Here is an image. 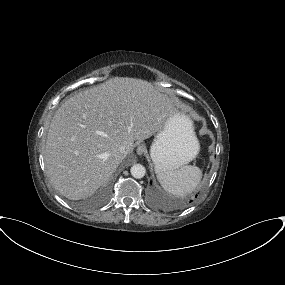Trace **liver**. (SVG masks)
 I'll return each mask as SVG.
<instances>
[{"instance_id": "liver-1", "label": "liver", "mask_w": 285, "mask_h": 285, "mask_svg": "<svg viewBox=\"0 0 285 285\" xmlns=\"http://www.w3.org/2000/svg\"><path fill=\"white\" fill-rule=\"evenodd\" d=\"M174 100L151 83L114 77L79 92L56 111L44 151L47 175L55 189L78 200L103 186L134 141L159 133L176 118Z\"/></svg>"}]
</instances>
